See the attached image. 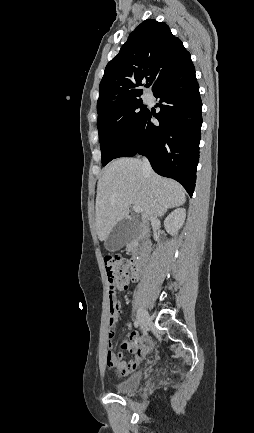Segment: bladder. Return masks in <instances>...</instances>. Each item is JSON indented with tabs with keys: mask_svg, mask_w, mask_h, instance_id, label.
I'll use <instances>...</instances> for the list:
<instances>
[{
	"mask_svg": "<svg viewBox=\"0 0 254 433\" xmlns=\"http://www.w3.org/2000/svg\"><path fill=\"white\" fill-rule=\"evenodd\" d=\"M142 375L141 374H135L131 377L118 382L114 385V389L117 393L120 394H128L136 391L141 383Z\"/></svg>",
	"mask_w": 254,
	"mask_h": 433,
	"instance_id": "bladder-1",
	"label": "bladder"
}]
</instances>
